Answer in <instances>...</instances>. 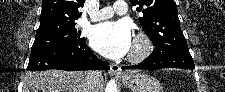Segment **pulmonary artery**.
I'll return each mask as SVG.
<instances>
[{
    "instance_id": "1",
    "label": "pulmonary artery",
    "mask_w": 225,
    "mask_h": 92,
    "mask_svg": "<svg viewBox=\"0 0 225 92\" xmlns=\"http://www.w3.org/2000/svg\"><path fill=\"white\" fill-rule=\"evenodd\" d=\"M128 11L126 2L116 1L112 6L104 7L97 13L93 14L92 21H101L110 18L114 13L124 14Z\"/></svg>"
}]
</instances>
